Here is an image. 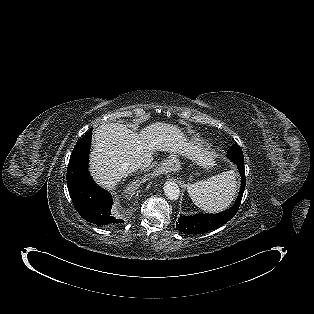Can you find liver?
Returning a JSON list of instances; mask_svg holds the SVG:
<instances>
[{
	"label": "liver",
	"instance_id": "obj_1",
	"mask_svg": "<svg viewBox=\"0 0 314 314\" xmlns=\"http://www.w3.org/2000/svg\"><path fill=\"white\" fill-rule=\"evenodd\" d=\"M93 136L91 173L96 182L109 190L127 176L130 163L140 160L143 167L150 166L155 151L190 157L196 149L177 126L168 123L156 122L139 134L123 124L106 123L99 126Z\"/></svg>",
	"mask_w": 314,
	"mask_h": 314
}]
</instances>
